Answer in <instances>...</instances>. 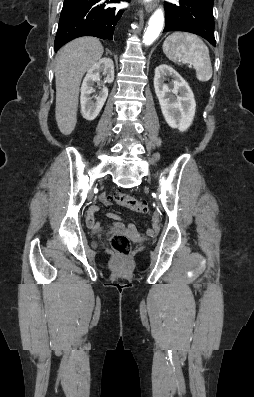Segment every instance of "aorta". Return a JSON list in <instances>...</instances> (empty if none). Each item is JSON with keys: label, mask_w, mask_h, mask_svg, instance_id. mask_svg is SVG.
Masks as SVG:
<instances>
[{"label": "aorta", "mask_w": 254, "mask_h": 397, "mask_svg": "<svg viewBox=\"0 0 254 397\" xmlns=\"http://www.w3.org/2000/svg\"><path fill=\"white\" fill-rule=\"evenodd\" d=\"M164 24V13L162 9H157L151 16L146 32L143 36L145 45L152 44L159 36Z\"/></svg>", "instance_id": "obj_1"}]
</instances>
